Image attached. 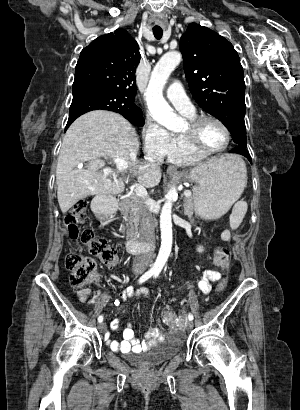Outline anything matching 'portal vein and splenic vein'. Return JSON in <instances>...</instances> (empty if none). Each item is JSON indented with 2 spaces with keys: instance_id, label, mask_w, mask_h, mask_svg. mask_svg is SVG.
Masks as SVG:
<instances>
[{
  "instance_id": "1",
  "label": "portal vein and splenic vein",
  "mask_w": 300,
  "mask_h": 410,
  "mask_svg": "<svg viewBox=\"0 0 300 410\" xmlns=\"http://www.w3.org/2000/svg\"><path fill=\"white\" fill-rule=\"evenodd\" d=\"M114 163L116 164L117 170L119 172H123L127 168V163L121 159H114ZM134 192L136 193L137 196L141 198H146L147 197V191L146 189L140 185V184H135L134 185ZM192 193L190 190H185L184 191V196L185 197H191Z\"/></svg>"
}]
</instances>
